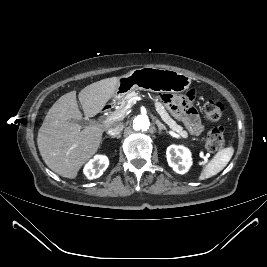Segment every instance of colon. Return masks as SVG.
<instances>
[{
    "mask_svg": "<svg viewBox=\"0 0 267 267\" xmlns=\"http://www.w3.org/2000/svg\"><path fill=\"white\" fill-rule=\"evenodd\" d=\"M202 112L209 121H218L223 113V105L216 100H208L202 106ZM225 143L223 130L220 127L211 129L206 136V147L215 152L223 148Z\"/></svg>",
    "mask_w": 267,
    "mask_h": 267,
    "instance_id": "obj_1",
    "label": "colon"
}]
</instances>
